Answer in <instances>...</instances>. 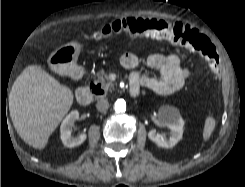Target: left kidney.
Returning <instances> with one entry per match:
<instances>
[{
    "label": "left kidney",
    "instance_id": "5707ae66",
    "mask_svg": "<svg viewBox=\"0 0 245 187\" xmlns=\"http://www.w3.org/2000/svg\"><path fill=\"white\" fill-rule=\"evenodd\" d=\"M158 118L170 129V137L166 139L155 129H152L148 133L149 139L162 148L174 147L182 139L183 135L184 120L179 110L168 105L161 106L158 111Z\"/></svg>",
    "mask_w": 245,
    "mask_h": 187
}]
</instances>
